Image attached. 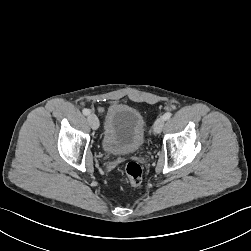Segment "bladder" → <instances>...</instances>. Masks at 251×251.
Returning a JSON list of instances; mask_svg holds the SVG:
<instances>
[{
	"label": "bladder",
	"mask_w": 251,
	"mask_h": 251,
	"mask_svg": "<svg viewBox=\"0 0 251 251\" xmlns=\"http://www.w3.org/2000/svg\"><path fill=\"white\" fill-rule=\"evenodd\" d=\"M146 138L142 114L127 104L114 102L105 114L101 138L102 150L109 155H127L137 152Z\"/></svg>",
	"instance_id": "obj_1"
}]
</instances>
